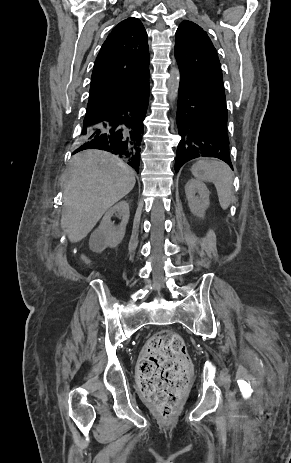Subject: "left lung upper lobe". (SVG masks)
<instances>
[{
  "label": "left lung upper lobe",
  "instance_id": "left-lung-upper-lobe-1",
  "mask_svg": "<svg viewBox=\"0 0 291 463\" xmlns=\"http://www.w3.org/2000/svg\"><path fill=\"white\" fill-rule=\"evenodd\" d=\"M175 58L181 81L197 86L226 103L217 51L207 33L191 21H183L176 31Z\"/></svg>",
  "mask_w": 291,
  "mask_h": 463
}]
</instances>
